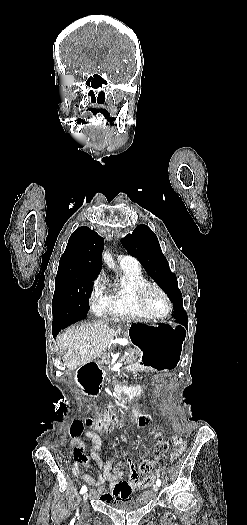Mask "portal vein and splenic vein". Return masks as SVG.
<instances>
[{
  "mask_svg": "<svg viewBox=\"0 0 247 525\" xmlns=\"http://www.w3.org/2000/svg\"><path fill=\"white\" fill-rule=\"evenodd\" d=\"M125 356H130V353H125ZM124 364V361H119V363H114V365L106 364L105 370H120L122 368V365Z\"/></svg>",
  "mask_w": 247,
  "mask_h": 525,
  "instance_id": "obj_1",
  "label": "portal vein and splenic vein"
}]
</instances>
